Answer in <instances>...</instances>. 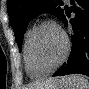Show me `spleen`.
<instances>
[{"label": "spleen", "instance_id": "1", "mask_svg": "<svg viewBox=\"0 0 89 89\" xmlns=\"http://www.w3.org/2000/svg\"><path fill=\"white\" fill-rule=\"evenodd\" d=\"M73 89H88V80L82 75L74 74L65 78Z\"/></svg>", "mask_w": 89, "mask_h": 89}]
</instances>
